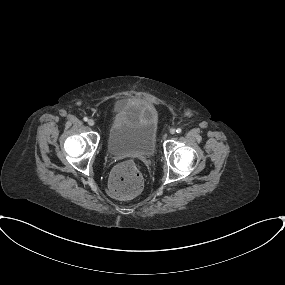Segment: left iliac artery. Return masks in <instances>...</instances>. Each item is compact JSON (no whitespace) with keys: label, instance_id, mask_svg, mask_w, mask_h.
I'll return each instance as SVG.
<instances>
[{"label":"left iliac artery","instance_id":"1","mask_svg":"<svg viewBox=\"0 0 285 285\" xmlns=\"http://www.w3.org/2000/svg\"><path fill=\"white\" fill-rule=\"evenodd\" d=\"M176 132H177V133H181V132H182V129H181V128H178V129L176 130Z\"/></svg>","mask_w":285,"mask_h":285}]
</instances>
